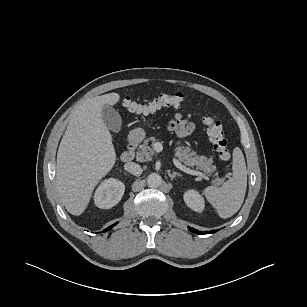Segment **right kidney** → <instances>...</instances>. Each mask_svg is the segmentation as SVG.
Listing matches in <instances>:
<instances>
[{"instance_id": "right-kidney-1", "label": "right kidney", "mask_w": 307, "mask_h": 307, "mask_svg": "<svg viewBox=\"0 0 307 307\" xmlns=\"http://www.w3.org/2000/svg\"><path fill=\"white\" fill-rule=\"evenodd\" d=\"M125 191V185L115 178L104 180L94 195L95 205L102 209H109L119 203Z\"/></svg>"}]
</instances>
